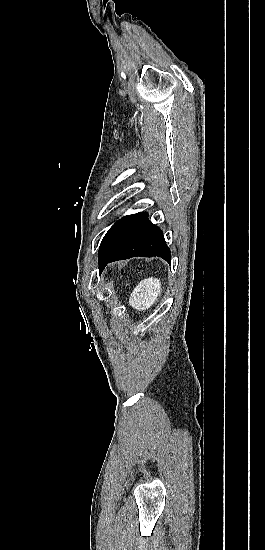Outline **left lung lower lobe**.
<instances>
[{
  "label": "left lung lower lobe",
  "mask_w": 265,
  "mask_h": 550,
  "mask_svg": "<svg viewBox=\"0 0 265 550\" xmlns=\"http://www.w3.org/2000/svg\"><path fill=\"white\" fill-rule=\"evenodd\" d=\"M135 256H160L171 262L170 249L166 245L163 232L145 217L118 245L108 254L99 258V272L116 260Z\"/></svg>",
  "instance_id": "1"
}]
</instances>
